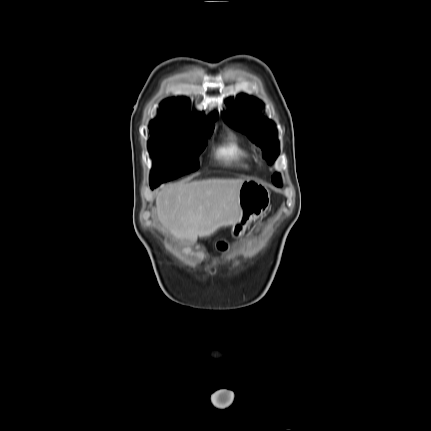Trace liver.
<instances>
[{
	"mask_svg": "<svg viewBox=\"0 0 431 431\" xmlns=\"http://www.w3.org/2000/svg\"><path fill=\"white\" fill-rule=\"evenodd\" d=\"M244 179L212 178L163 187L156 214L164 232L193 244L233 226L240 217L238 196Z\"/></svg>",
	"mask_w": 431,
	"mask_h": 431,
	"instance_id": "6515ba94",
	"label": "liver"
}]
</instances>
